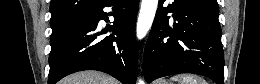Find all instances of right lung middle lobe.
I'll return each mask as SVG.
<instances>
[{
  "label": "right lung middle lobe",
  "mask_w": 260,
  "mask_h": 84,
  "mask_svg": "<svg viewBox=\"0 0 260 84\" xmlns=\"http://www.w3.org/2000/svg\"><path fill=\"white\" fill-rule=\"evenodd\" d=\"M83 18V17H82ZM82 18L77 19L73 22H70L68 24L56 27V28H52V35H51V39L50 42L53 43L55 42L57 39H59L60 36H62L70 27H72L74 24L80 22L82 20Z\"/></svg>",
  "instance_id": "1"
}]
</instances>
